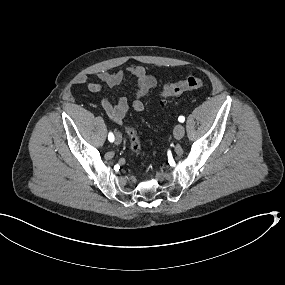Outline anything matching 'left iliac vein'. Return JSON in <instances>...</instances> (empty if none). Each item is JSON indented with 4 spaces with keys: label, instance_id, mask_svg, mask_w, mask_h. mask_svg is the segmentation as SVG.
Listing matches in <instances>:
<instances>
[{
    "label": "left iliac vein",
    "instance_id": "4c4485c4",
    "mask_svg": "<svg viewBox=\"0 0 285 285\" xmlns=\"http://www.w3.org/2000/svg\"><path fill=\"white\" fill-rule=\"evenodd\" d=\"M173 133H174V137L176 139H181L185 134L184 126L181 124L176 125Z\"/></svg>",
    "mask_w": 285,
    "mask_h": 285
}]
</instances>
